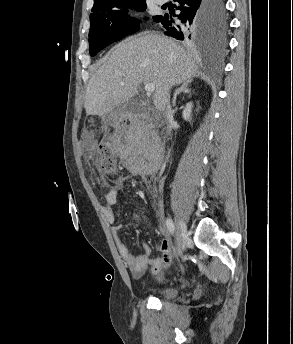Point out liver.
I'll return each mask as SVG.
<instances>
[{
	"instance_id": "obj_1",
	"label": "liver",
	"mask_w": 293,
	"mask_h": 344,
	"mask_svg": "<svg viewBox=\"0 0 293 344\" xmlns=\"http://www.w3.org/2000/svg\"><path fill=\"white\" fill-rule=\"evenodd\" d=\"M198 68L192 55L173 39L146 32L120 43L90 79L87 115L103 116L130 101L142 83L155 85L153 102L165 110L164 96L173 86L192 81Z\"/></svg>"
}]
</instances>
